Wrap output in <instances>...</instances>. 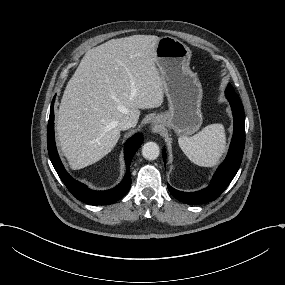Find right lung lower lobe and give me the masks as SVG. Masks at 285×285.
Here are the masks:
<instances>
[{
	"label": "right lung lower lobe",
	"mask_w": 285,
	"mask_h": 285,
	"mask_svg": "<svg viewBox=\"0 0 285 285\" xmlns=\"http://www.w3.org/2000/svg\"><path fill=\"white\" fill-rule=\"evenodd\" d=\"M142 142H143V137L141 134L134 135L126 142L125 144L126 174L124 179L119 185H117L113 189L106 191L90 190L84 184L73 179L66 172L60 161L54 139V110H53V105H51L48 128H47V147H48L50 160L56 172L58 173L60 179L66 185L67 189L72 193V195L75 198L84 203L91 205H108L118 201L119 199H121L123 196L126 195L131 186L130 164L134 154L141 146Z\"/></svg>",
	"instance_id": "1"
}]
</instances>
